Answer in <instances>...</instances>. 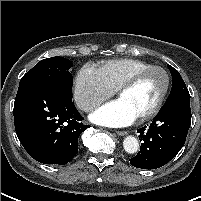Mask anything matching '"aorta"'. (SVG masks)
I'll use <instances>...</instances> for the list:
<instances>
[{"instance_id": "1", "label": "aorta", "mask_w": 201, "mask_h": 201, "mask_svg": "<svg viewBox=\"0 0 201 201\" xmlns=\"http://www.w3.org/2000/svg\"><path fill=\"white\" fill-rule=\"evenodd\" d=\"M123 147L129 154H134L139 149V142L134 136H127L124 138Z\"/></svg>"}]
</instances>
